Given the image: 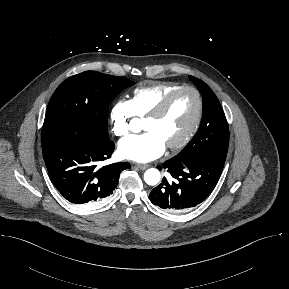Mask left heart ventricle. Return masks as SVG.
<instances>
[{"instance_id": "obj_1", "label": "left heart ventricle", "mask_w": 289, "mask_h": 289, "mask_svg": "<svg viewBox=\"0 0 289 289\" xmlns=\"http://www.w3.org/2000/svg\"><path fill=\"white\" fill-rule=\"evenodd\" d=\"M197 110L193 92L182 91L171 101L167 111L157 120H145L143 129L154 132L167 146L180 140L192 125Z\"/></svg>"}]
</instances>
